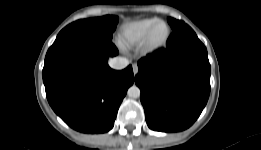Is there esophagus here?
Returning <instances> with one entry per match:
<instances>
[{
  "label": "esophagus",
  "mask_w": 261,
  "mask_h": 150,
  "mask_svg": "<svg viewBox=\"0 0 261 150\" xmlns=\"http://www.w3.org/2000/svg\"><path fill=\"white\" fill-rule=\"evenodd\" d=\"M132 67H133V73H134V75H136L139 71L137 64H133Z\"/></svg>",
  "instance_id": "obj_1"
}]
</instances>
